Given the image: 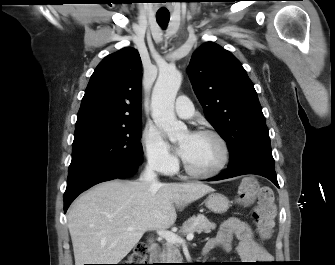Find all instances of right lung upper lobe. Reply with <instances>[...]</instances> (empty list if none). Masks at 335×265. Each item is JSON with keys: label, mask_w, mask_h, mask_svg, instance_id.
<instances>
[{"label": "right lung upper lobe", "mask_w": 335, "mask_h": 265, "mask_svg": "<svg viewBox=\"0 0 335 265\" xmlns=\"http://www.w3.org/2000/svg\"><path fill=\"white\" fill-rule=\"evenodd\" d=\"M141 82L137 50L127 47L105 57L90 78L75 128L142 120Z\"/></svg>", "instance_id": "right-lung-upper-lobe-1"}]
</instances>
